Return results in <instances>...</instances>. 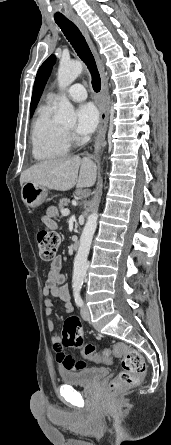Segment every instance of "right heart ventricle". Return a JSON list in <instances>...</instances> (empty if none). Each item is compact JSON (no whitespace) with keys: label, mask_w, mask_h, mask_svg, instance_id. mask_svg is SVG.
Segmentation results:
<instances>
[{"label":"right heart ventricle","mask_w":171,"mask_h":445,"mask_svg":"<svg viewBox=\"0 0 171 445\" xmlns=\"http://www.w3.org/2000/svg\"><path fill=\"white\" fill-rule=\"evenodd\" d=\"M31 143L33 156L37 160L59 158L69 151V137L54 120L51 103L38 110L32 124Z\"/></svg>","instance_id":"right-heart-ventricle-1"}]
</instances>
